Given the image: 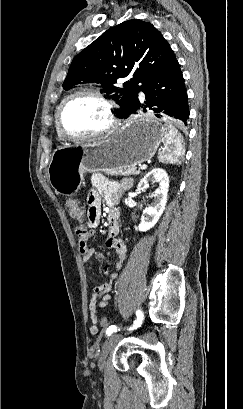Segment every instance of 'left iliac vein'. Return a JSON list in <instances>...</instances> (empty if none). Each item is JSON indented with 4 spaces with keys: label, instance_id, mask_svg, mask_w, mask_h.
<instances>
[{
    "label": "left iliac vein",
    "instance_id": "4c4485c4",
    "mask_svg": "<svg viewBox=\"0 0 243 409\" xmlns=\"http://www.w3.org/2000/svg\"><path fill=\"white\" fill-rule=\"evenodd\" d=\"M119 339H120L119 335L113 334L105 340L103 347H102V352H101V355L98 361V366L100 370H103V368L105 367L107 356L109 355L113 347L117 344Z\"/></svg>",
    "mask_w": 243,
    "mask_h": 409
}]
</instances>
